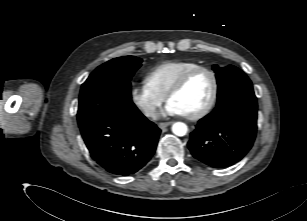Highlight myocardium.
Returning a JSON list of instances; mask_svg holds the SVG:
<instances>
[{"mask_svg": "<svg viewBox=\"0 0 307 221\" xmlns=\"http://www.w3.org/2000/svg\"><path fill=\"white\" fill-rule=\"evenodd\" d=\"M200 71H205L210 74L212 78V82H213L212 94H211L209 101L202 109H200L198 112L194 114L184 115V117L189 120H199L205 117L211 112V110L215 106L217 99H218V94H219V78H218L216 71L212 69L211 67L201 66V65L195 68H192L188 70L187 72H185L183 75H181L177 79V81L172 85V87L169 89V91L167 92L165 96L166 101L169 102L170 98L176 95L178 92H180L184 88V86L187 84V82L190 80V78Z\"/></svg>", "mask_w": 307, "mask_h": 221, "instance_id": "f54148a6", "label": "myocardium"}]
</instances>
